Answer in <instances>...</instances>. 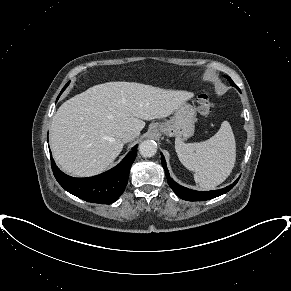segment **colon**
<instances>
[{
    "instance_id": "1",
    "label": "colon",
    "mask_w": 291,
    "mask_h": 291,
    "mask_svg": "<svg viewBox=\"0 0 291 291\" xmlns=\"http://www.w3.org/2000/svg\"><path fill=\"white\" fill-rule=\"evenodd\" d=\"M213 109V103L207 95H201L198 99L199 113L207 118L211 114Z\"/></svg>"
}]
</instances>
